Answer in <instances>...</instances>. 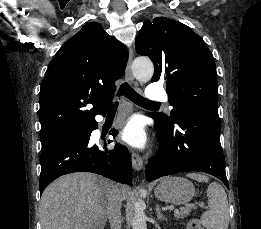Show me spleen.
Returning <instances> with one entry per match:
<instances>
[{
	"instance_id": "3e777b00",
	"label": "spleen",
	"mask_w": 261,
	"mask_h": 229,
	"mask_svg": "<svg viewBox=\"0 0 261 229\" xmlns=\"http://www.w3.org/2000/svg\"><path fill=\"white\" fill-rule=\"evenodd\" d=\"M186 177L199 181V183H208V177L197 175V173H188ZM208 207L207 213H203L201 223L205 229H228L229 225V207L228 199L222 185L211 183L207 189Z\"/></svg>"
}]
</instances>
